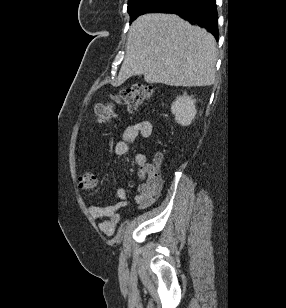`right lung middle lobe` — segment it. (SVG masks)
Listing matches in <instances>:
<instances>
[{
  "label": "right lung middle lobe",
  "instance_id": "1",
  "mask_svg": "<svg viewBox=\"0 0 286 308\" xmlns=\"http://www.w3.org/2000/svg\"><path fill=\"white\" fill-rule=\"evenodd\" d=\"M169 0H128L127 11L130 15V23L139 15L152 12Z\"/></svg>",
  "mask_w": 286,
  "mask_h": 308
}]
</instances>
